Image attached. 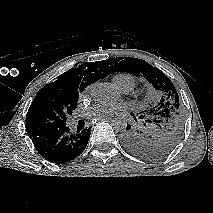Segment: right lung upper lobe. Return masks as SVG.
<instances>
[{
    "label": "right lung upper lobe",
    "mask_w": 213,
    "mask_h": 213,
    "mask_svg": "<svg viewBox=\"0 0 213 213\" xmlns=\"http://www.w3.org/2000/svg\"><path fill=\"white\" fill-rule=\"evenodd\" d=\"M100 63L101 61L86 62L77 68H72L59 75L54 82L49 83L41 90H59L79 93V91H83L86 86L109 75L105 70L101 69Z\"/></svg>",
    "instance_id": "1"
}]
</instances>
